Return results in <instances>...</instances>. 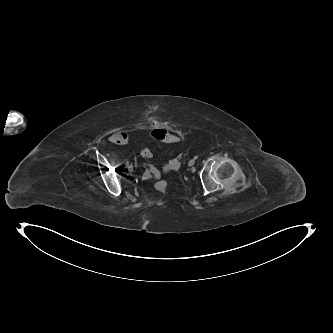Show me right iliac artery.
<instances>
[{
	"label": "right iliac artery",
	"mask_w": 333,
	"mask_h": 333,
	"mask_svg": "<svg viewBox=\"0 0 333 333\" xmlns=\"http://www.w3.org/2000/svg\"><path fill=\"white\" fill-rule=\"evenodd\" d=\"M126 167L129 169V161L126 162Z\"/></svg>",
	"instance_id": "right-iliac-artery-1"
}]
</instances>
